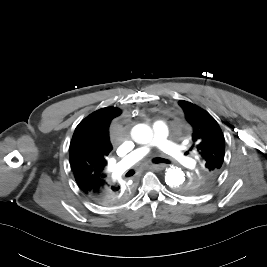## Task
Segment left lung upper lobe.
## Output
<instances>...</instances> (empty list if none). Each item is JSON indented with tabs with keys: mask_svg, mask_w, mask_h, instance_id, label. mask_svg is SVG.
<instances>
[{
	"mask_svg": "<svg viewBox=\"0 0 267 267\" xmlns=\"http://www.w3.org/2000/svg\"><path fill=\"white\" fill-rule=\"evenodd\" d=\"M185 118L192 128V147L200 155V164L187 181L179 188L184 195L208 191L222 172L225 140L216 120L200 107L180 100Z\"/></svg>",
	"mask_w": 267,
	"mask_h": 267,
	"instance_id": "left-lung-upper-lobe-1",
	"label": "left lung upper lobe"
}]
</instances>
